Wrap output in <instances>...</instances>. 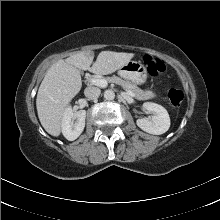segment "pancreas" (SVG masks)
Returning <instances> with one entry per match:
<instances>
[{"instance_id": "cf45deb5", "label": "pancreas", "mask_w": 220, "mask_h": 220, "mask_svg": "<svg viewBox=\"0 0 220 220\" xmlns=\"http://www.w3.org/2000/svg\"><path fill=\"white\" fill-rule=\"evenodd\" d=\"M106 80L110 83H115L117 85H120L122 88H124L127 91H131L132 93H134L135 98L138 100H148L156 97L154 92L150 90H142L135 84H132L129 81H125L120 77L117 76L107 77Z\"/></svg>"}]
</instances>
